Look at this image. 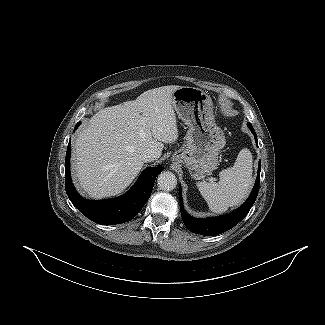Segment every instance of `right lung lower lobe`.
Returning <instances> with one entry per match:
<instances>
[{
    "label": "right lung lower lobe",
    "instance_id": "obj_1",
    "mask_svg": "<svg viewBox=\"0 0 325 325\" xmlns=\"http://www.w3.org/2000/svg\"><path fill=\"white\" fill-rule=\"evenodd\" d=\"M79 125L80 122L74 130ZM70 145L71 142L68 144L65 158V187L73 205L87 218L101 225L120 224L132 220L148 201L155 179L163 171V167L145 169L132 189L122 197L101 201L86 200L77 193L71 180Z\"/></svg>",
    "mask_w": 325,
    "mask_h": 325
}]
</instances>
